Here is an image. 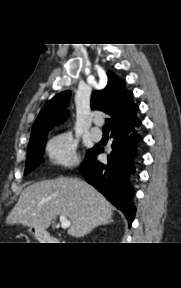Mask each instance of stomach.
<instances>
[{"label": "stomach", "mask_w": 181, "mask_h": 288, "mask_svg": "<svg viewBox=\"0 0 181 288\" xmlns=\"http://www.w3.org/2000/svg\"><path fill=\"white\" fill-rule=\"evenodd\" d=\"M31 232L34 234V236H35L39 241H44V238L46 237V233L37 232L36 230H31ZM42 243H43V242H42Z\"/></svg>", "instance_id": "obj_1"}]
</instances>
